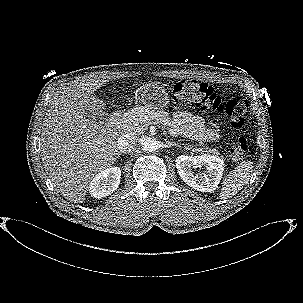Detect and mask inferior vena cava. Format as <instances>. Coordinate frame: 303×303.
I'll return each mask as SVG.
<instances>
[{"label":"inferior vena cava","mask_w":303,"mask_h":303,"mask_svg":"<svg viewBox=\"0 0 303 303\" xmlns=\"http://www.w3.org/2000/svg\"><path fill=\"white\" fill-rule=\"evenodd\" d=\"M134 139L130 134L121 135L117 141V148L121 153L130 152L133 148Z\"/></svg>","instance_id":"602c4592"}]
</instances>
